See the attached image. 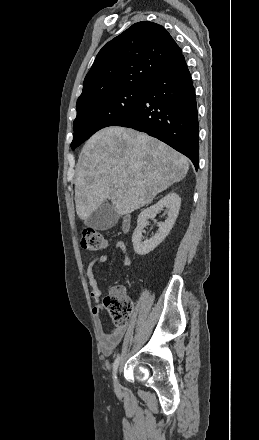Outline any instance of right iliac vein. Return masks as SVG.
Listing matches in <instances>:
<instances>
[{
  "label": "right iliac vein",
  "mask_w": 259,
  "mask_h": 440,
  "mask_svg": "<svg viewBox=\"0 0 259 440\" xmlns=\"http://www.w3.org/2000/svg\"><path fill=\"white\" fill-rule=\"evenodd\" d=\"M114 387H115L116 390L119 389V380H118L117 375H116V377H115V379H114Z\"/></svg>",
  "instance_id": "1"
}]
</instances>
